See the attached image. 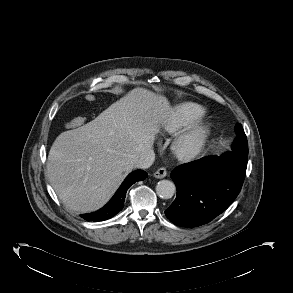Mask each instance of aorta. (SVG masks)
<instances>
[{"label": "aorta", "mask_w": 293, "mask_h": 293, "mask_svg": "<svg viewBox=\"0 0 293 293\" xmlns=\"http://www.w3.org/2000/svg\"><path fill=\"white\" fill-rule=\"evenodd\" d=\"M175 192V184L170 180H161L156 185V193L162 199L172 198Z\"/></svg>", "instance_id": "aorta-1"}]
</instances>
